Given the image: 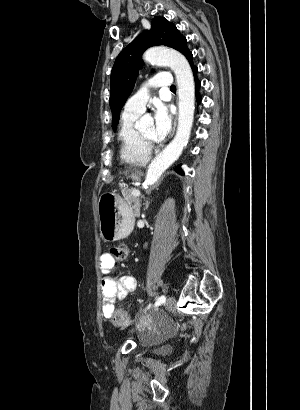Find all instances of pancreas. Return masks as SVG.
Instances as JSON below:
<instances>
[{
	"label": "pancreas",
	"instance_id": "cf45deb5",
	"mask_svg": "<svg viewBox=\"0 0 300 410\" xmlns=\"http://www.w3.org/2000/svg\"><path fill=\"white\" fill-rule=\"evenodd\" d=\"M133 190H135V189L128 190L125 193V197H126V200H127L128 204L132 206L133 211H134V215L136 217H139L140 216V207H141V205H140V201L135 196L132 195Z\"/></svg>",
	"mask_w": 300,
	"mask_h": 410
}]
</instances>
